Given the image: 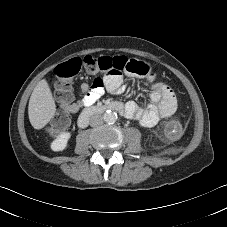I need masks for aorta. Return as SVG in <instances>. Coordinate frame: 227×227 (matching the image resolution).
<instances>
[{
  "label": "aorta",
  "instance_id": "obj_1",
  "mask_svg": "<svg viewBox=\"0 0 227 227\" xmlns=\"http://www.w3.org/2000/svg\"><path fill=\"white\" fill-rule=\"evenodd\" d=\"M103 119L106 123L113 124L117 120V113H115L111 110H107L103 115Z\"/></svg>",
  "mask_w": 227,
  "mask_h": 227
}]
</instances>
